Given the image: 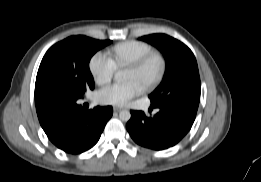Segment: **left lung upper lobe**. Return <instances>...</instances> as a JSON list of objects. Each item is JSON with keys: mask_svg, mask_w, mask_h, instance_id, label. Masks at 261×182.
Wrapping results in <instances>:
<instances>
[{"mask_svg": "<svg viewBox=\"0 0 261 182\" xmlns=\"http://www.w3.org/2000/svg\"><path fill=\"white\" fill-rule=\"evenodd\" d=\"M158 47L166 59V71L161 84L149 95L151 105L158 107L194 99L200 100V77L192 51L182 42L165 34L140 38Z\"/></svg>", "mask_w": 261, "mask_h": 182, "instance_id": "obj_1", "label": "left lung upper lobe"}]
</instances>
